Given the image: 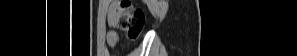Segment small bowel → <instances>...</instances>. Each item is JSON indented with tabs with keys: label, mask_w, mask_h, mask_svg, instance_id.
Instances as JSON below:
<instances>
[{
	"label": "small bowel",
	"mask_w": 297,
	"mask_h": 56,
	"mask_svg": "<svg viewBox=\"0 0 297 56\" xmlns=\"http://www.w3.org/2000/svg\"><path fill=\"white\" fill-rule=\"evenodd\" d=\"M107 21L109 26L112 28H117L118 23H119V14L117 11V4L111 5L109 11H108V16H107ZM106 40L109 46L113 47L116 45L118 36L115 30H110L107 33Z\"/></svg>",
	"instance_id": "1"
}]
</instances>
